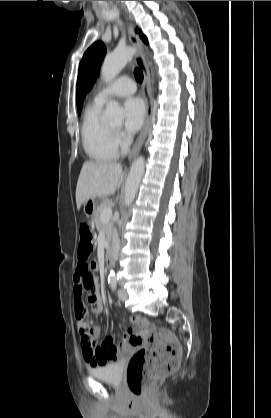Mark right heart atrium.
Here are the masks:
<instances>
[{
  "label": "right heart atrium",
  "mask_w": 271,
  "mask_h": 418,
  "mask_svg": "<svg viewBox=\"0 0 271 418\" xmlns=\"http://www.w3.org/2000/svg\"><path fill=\"white\" fill-rule=\"evenodd\" d=\"M114 141L118 148L126 149L130 145V137L124 134L122 131L114 132Z\"/></svg>",
  "instance_id": "1"
}]
</instances>
